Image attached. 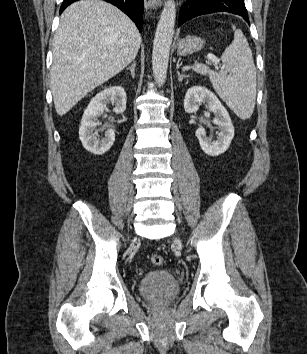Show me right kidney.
<instances>
[{
	"label": "right kidney",
	"instance_id": "obj_1",
	"mask_svg": "<svg viewBox=\"0 0 307 354\" xmlns=\"http://www.w3.org/2000/svg\"><path fill=\"white\" fill-rule=\"evenodd\" d=\"M126 100V92L121 86L106 88L91 99L84 111L79 128V138L87 151L95 155H103L111 148L115 141L114 130L108 129L101 139L93 131L99 124L98 118L108 110L107 104L112 103L113 111L121 114L126 109Z\"/></svg>",
	"mask_w": 307,
	"mask_h": 354
}]
</instances>
